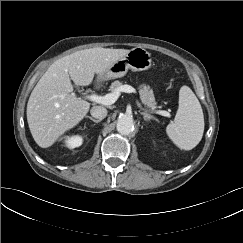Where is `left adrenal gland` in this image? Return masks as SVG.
Listing matches in <instances>:
<instances>
[{"mask_svg": "<svg viewBox=\"0 0 243 243\" xmlns=\"http://www.w3.org/2000/svg\"><path fill=\"white\" fill-rule=\"evenodd\" d=\"M141 115H143L144 119L149 121L150 119H154L156 120V118L148 113H145V112H140Z\"/></svg>", "mask_w": 243, "mask_h": 243, "instance_id": "obj_1", "label": "left adrenal gland"}]
</instances>
